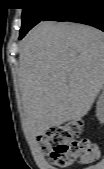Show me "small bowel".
Masks as SVG:
<instances>
[{"label":"small bowel","instance_id":"obj_1","mask_svg":"<svg viewBox=\"0 0 104 169\" xmlns=\"http://www.w3.org/2000/svg\"><path fill=\"white\" fill-rule=\"evenodd\" d=\"M94 147L97 149L98 153L100 152L99 147L94 144Z\"/></svg>","mask_w":104,"mask_h":169}]
</instances>
